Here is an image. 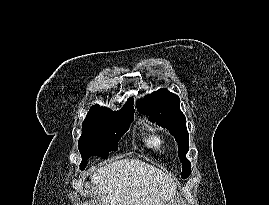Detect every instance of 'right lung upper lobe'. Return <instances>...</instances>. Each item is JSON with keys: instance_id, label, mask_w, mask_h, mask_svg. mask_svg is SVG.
<instances>
[{"instance_id": "cb5924a9", "label": "right lung upper lobe", "mask_w": 269, "mask_h": 205, "mask_svg": "<svg viewBox=\"0 0 269 205\" xmlns=\"http://www.w3.org/2000/svg\"><path fill=\"white\" fill-rule=\"evenodd\" d=\"M134 115L133 99H129L124 107L116 112L99 105L92 106L85 119L91 118H124Z\"/></svg>"}]
</instances>
